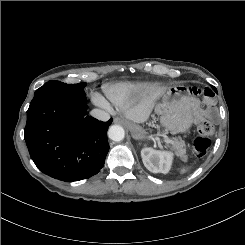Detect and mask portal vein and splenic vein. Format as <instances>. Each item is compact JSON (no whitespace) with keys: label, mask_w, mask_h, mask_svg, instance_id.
I'll list each match as a JSON object with an SVG mask.
<instances>
[{"label":"portal vein and splenic vein","mask_w":245,"mask_h":245,"mask_svg":"<svg viewBox=\"0 0 245 245\" xmlns=\"http://www.w3.org/2000/svg\"><path fill=\"white\" fill-rule=\"evenodd\" d=\"M164 141L167 142V143L171 142V140L169 138H164Z\"/></svg>","instance_id":"1"}]
</instances>
